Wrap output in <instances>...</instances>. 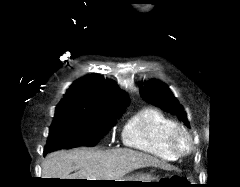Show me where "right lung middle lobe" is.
Segmentation results:
<instances>
[{
	"instance_id": "obj_1",
	"label": "right lung middle lobe",
	"mask_w": 240,
	"mask_h": 187,
	"mask_svg": "<svg viewBox=\"0 0 240 187\" xmlns=\"http://www.w3.org/2000/svg\"><path fill=\"white\" fill-rule=\"evenodd\" d=\"M123 112L124 109L91 112L56 108L44 154L62 148L96 145Z\"/></svg>"
}]
</instances>
